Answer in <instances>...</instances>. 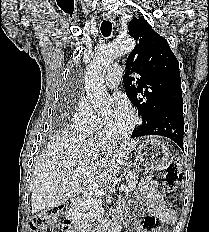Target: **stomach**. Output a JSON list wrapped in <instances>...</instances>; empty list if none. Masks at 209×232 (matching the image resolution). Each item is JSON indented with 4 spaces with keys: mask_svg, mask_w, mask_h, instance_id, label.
Wrapping results in <instances>:
<instances>
[{
    "mask_svg": "<svg viewBox=\"0 0 209 232\" xmlns=\"http://www.w3.org/2000/svg\"><path fill=\"white\" fill-rule=\"evenodd\" d=\"M169 154L168 147L162 141L154 138L144 139L137 149V157L143 165L156 171H161L167 167Z\"/></svg>",
    "mask_w": 209,
    "mask_h": 232,
    "instance_id": "1",
    "label": "stomach"
}]
</instances>
